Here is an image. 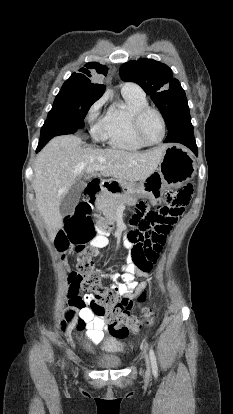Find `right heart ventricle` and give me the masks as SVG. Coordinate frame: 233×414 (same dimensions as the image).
I'll return each instance as SVG.
<instances>
[{
    "label": "right heart ventricle",
    "instance_id": "e07e8e85",
    "mask_svg": "<svg viewBox=\"0 0 233 414\" xmlns=\"http://www.w3.org/2000/svg\"><path fill=\"white\" fill-rule=\"evenodd\" d=\"M121 93L124 102L113 104L108 109L96 131L112 148L137 151L148 145L135 134L133 117L139 109L149 104L143 92L122 89Z\"/></svg>",
    "mask_w": 233,
    "mask_h": 414
}]
</instances>
